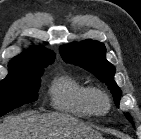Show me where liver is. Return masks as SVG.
<instances>
[{"mask_svg": "<svg viewBox=\"0 0 141 139\" xmlns=\"http://www.w3.org/2000/svg\"><path fill=\"white\" fill-rule=\"evenodd\" d=\"M89 131L91 127L60 112L37 114L30 111L9 116L0 123V139H73Z\"/></svg>", "mask_w": 141, "mask_h": 139, "instance_id": "1", "label": "liver"}]
</instances>
